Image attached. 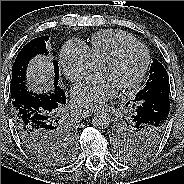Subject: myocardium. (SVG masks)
<instances>
[{"label": "myocardium", "mask_w": 184, "mask_h": 184, "mask_svg": "<svg viewBox=\"0 0 184 184\" xmlns=\"http://www.w3.org/2000/svg\"><path fill=\"white\" fill-rule=\"evenodd\" d=\"M131 48H139L143 52V54H144V63H143V66H142L140 72L138 73V75L131 82L123 85L122 87H120L121 90L135 89L143 81L144 77L147 74V71L149 69L150 62H151V56H150V52H149L148 48L144 44L139 43L137 41L124 43V44L120 45L119 47H117L112 53H110L109 55H107L103 59H101V61L98 63V65H100V64H103V63L114 62L126 50L131 49Z\"/></svg>", "instance_id": "f54148a6"}]
</instances>
